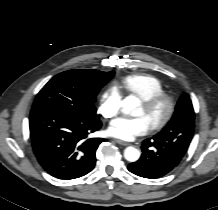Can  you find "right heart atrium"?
Wrapping results in <instances>:
<instances>
[{
    "label": "right heart atrium",
    "instance_id": "1",
    "mask_svg": "<svg viewBox=\"0 0 218 210\" xmlns=\"http://www.w3.org/2000/svg\"><path fill=\"white\" fill-rule=\"evenodd\" d=\"M120 95L117 90L110 88L106 90L101 98L98 112L107 119L117 115L120 108Z\"/></svg>",
    "mask_w": 218,
    "mask_h": 210
}]
</instances>
